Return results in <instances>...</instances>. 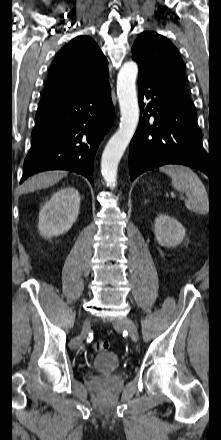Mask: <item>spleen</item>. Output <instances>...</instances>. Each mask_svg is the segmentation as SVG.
Wrapping results in <instances>:
<instances>
[{"label":"spleen","instance_id":"obj_1","mask_svg":"<svg viewBox=\"0 0 221 440\" xmlns=\"http://www.w3.org/2000/svg\"><path fill=\"white\" fill-rule=\"evenodd\" d=\"M171 178L172 186L185 192L188 200L186 207L193 212L206 214L208 211V194L198 175L189 167L182 165H165L159 168Z\"/></svg>","mask_w":221,"mask_h":440}]
</instances>
